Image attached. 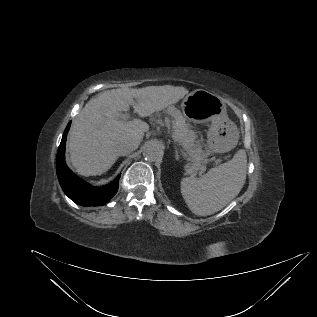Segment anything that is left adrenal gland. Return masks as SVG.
I'll return each instance as SVG.
<instances>
[{
  "mask_svg": "<svg viewBox=\"0 0 317 317\" xmlns=\"http://www.w3.org/2000/svg\"><path fill=\"white\" fill-rule=\"evenodd\" d=\"M174 149H175V158H176V160H179V154H178L177 147L174 146Z\"/></svg>",
  "mask_w": 317,
  "mask_h": 317,
  "instance_id": "obj_1",
  "label": "left adrenal gland"
}]
</instances>
